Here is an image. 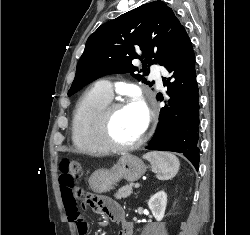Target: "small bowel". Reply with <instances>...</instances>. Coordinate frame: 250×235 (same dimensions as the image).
Segmentation results:
<instances>
[{"mask_svg": "<svg viewBox=\"0 0 250 235\" xmlns=\"http://www.w3.org/2000/svg\"><path fill=\"white\" fill-rule=\"evenodd\" d=\"M61 198L67 217L76 225L79 235H86L88 224L78 212L77 203L72 188L61 186ZM88 207L93 211L106 214L112 221L120 223L121 228L118 235H133L132 224L125 219L122 207L111 199L101 198L95 202H88Z\"/></svg>", "mask_w": 250, "mask_h": 235, "instance_id": "obj_1", "label": "small bowel"}]
</instances>
